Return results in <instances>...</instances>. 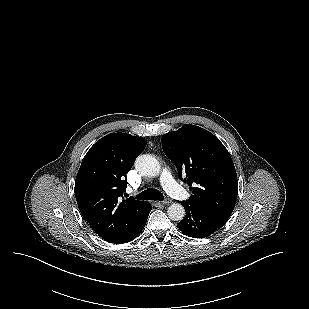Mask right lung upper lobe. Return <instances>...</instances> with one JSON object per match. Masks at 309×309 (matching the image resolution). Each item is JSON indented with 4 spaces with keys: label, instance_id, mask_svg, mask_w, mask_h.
<instances>
[{
    "label": "right lung upper lobe",
    "instance_id": "1",
    "mask_svg": "<svg viewBox=\"0 0 309 309\" xmlns=\"http://www.w3.org/2000/svg\"><path fill=\"white\" fill-rule=\"evenodd\" d=\"M146 146L145 139L111 133L96 142L85 155L75 180L79 210L103 239L119 236L143 216L145 201L122 200L126 174Z\"/></svg>",
    "mask_w": 309,
    "mask_h": 309
}]
</instances>
